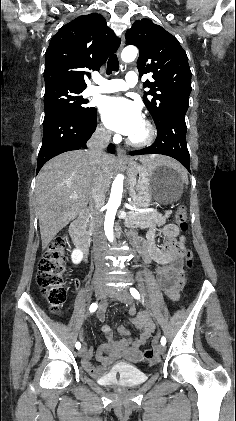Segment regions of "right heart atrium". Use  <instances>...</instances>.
Wrapping results in <instances>:
<instances>
[{
	"label": "right heart atrium",
	"instance_id": "d8ad5b80",
	"mask_svg": "<svg viewBox=\"0 0 236 421\" xmlns=\"http://www.w3.org/2000/svg\"><path fill=\"white\" fill-rule=\"evenodd\" d=\"M97 132H98V134L100 135V136H102V137H107V136H109V129H108V127L106 126V124L104 123V121L102 120L101 122H100V124L98 125V127H97Z\"/></svg>",
	"mask_w": 236,
	"mask_h": 421
}]
</instances>
